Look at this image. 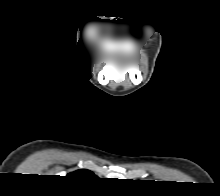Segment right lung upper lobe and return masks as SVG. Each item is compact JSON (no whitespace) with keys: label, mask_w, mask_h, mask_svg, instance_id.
Instances as JSON below:
<instances>
[{"label":"right lung upper lobe","mask_w":220,"mask_h":196,"mask_svg":"<svg viewBox=\"0 0 220 196\" xmlns=\"http://www.w3.org/2000/svg\"><path fill=\"white\" fill-rule=\"evenodd\" d=\"M68 176L80 179L95 178L96 176L89 170H78L68 174Z\"/></svg>","instance_id":"cb5924a9"}]
</instances>
